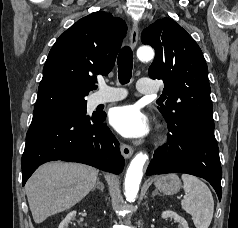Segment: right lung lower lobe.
<instances>
[{"label": "right lung lower lobe", "mask_w": 238, "mask_h": 228, "mask_svg": "<svg viewBox=\"0 0 238 228\" xmlns=\"http://www.w3.org/2000/svg\"><path fill=\"white\" fill-rule=\"evenodd\" d=\"M105 113L84 117L75 112L34 115L21 160L22 184L41 164L63 160L119 174L124 159L119 142L103 121Z\"/></svg>", "instance_id": "98d812e1"}]
</instances>
